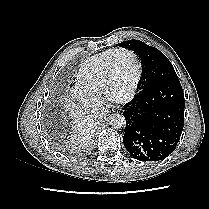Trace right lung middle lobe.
<instances>
[{
  "mask_svg": "<svg viewBox=\"0 0 209 209\" xmlns=\"http://www.w3.org/2000/svg\"><path fill=\"white\" fill-rule=\"evenodd\" d=\"M57 145H58V148L61 149L62 151H68V149H71V148H68L66 144L60 141L57 142Z\"/></svg>",
  "mask_w": 209,
  "mask_h": 209,
  "instance_id": "dd1d6c3e",
  "label": "right lung middle lobe"
}]
</instances>
